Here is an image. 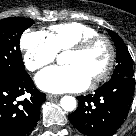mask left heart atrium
I'll use <instances>...</instances> for the list:
<instances>
[{"label": "left heart atrium", "mask_w": 136, "mask_h": 136, "mask_svg": "<svg viewBox=\"0 0 136 136\" xmlns=\"http://www.w3.org/2000/svg\"><path fill=\"white\" fill-rule=\"evenodd\" d=\"M37 86L46 92L63 93L82 91L90 80L75 65L53 66L36 76Z\"/></svg>", "instance_id": "39dd6f15"}]
</instances>
